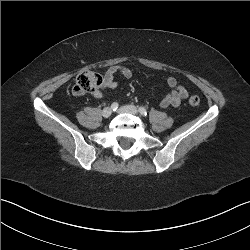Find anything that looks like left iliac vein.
Instances as JSON below:
<instances>
[{"label": "left iliac vein", "mask_w": 250, "mask_h": 250, "mask_svg": "<svg viewBox=\"0 0 250 250\" xmlns=\"http://www.w3.org/2000/svg\"><path fill=\"white\" fill-rule=\"evenodd\" d=\"M118 112H120V113H130V114L137 115L138 114V109L133 105H126V106L120 107Z\"/></svg>", "instance_id": "4c4485c4"}]
</instances>
